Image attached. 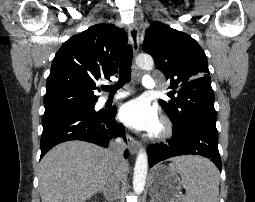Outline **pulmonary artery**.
<instances>
[{"label": "pulmonary artery", "instance_id": "obj_1", "mask_svg": "<svg viewBox=\"0 0 255 202\" xmlns=\"http://www.w3.org/2000/svg\"><path fill=\"white\" fill-rule=\"evenodd\" d=\"M143 86L146 89L153 90L156 87L155 80L150 75H145L142 80ZM128 93H120L115 96V99H120L122 97H125Z\"/></svg>", "mask_w": 255, "mask_h": 202}]
</instances>
